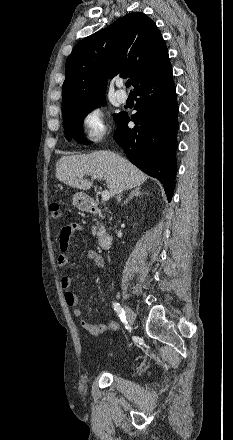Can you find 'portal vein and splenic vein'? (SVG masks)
I'll return each instance as SVG.
<instances>
[{
	"label": "portal vein and splenic vein",
	"mask_w": 233,
	"mask_h": 440,
	"mask_svg": "<svg viewBox=\"0 0 233 440\" xmlns=\"http://www.w3.org/2000/svg\"><path fill=\"white\" fill-rule=\"evenodd\" d=\"M92 178H94V179H102L103 177H100V176L94 175V176H92ZM101 197H102V200H103V201H108L109 198H110V192H109L108 190H104V191L102 192Z\"/></svg>",
	"instance_id": "portal-vein-and-splenic-vein-1"
}]
</instances>
